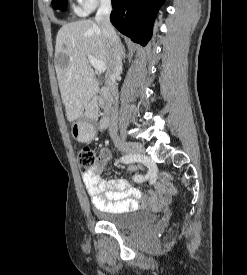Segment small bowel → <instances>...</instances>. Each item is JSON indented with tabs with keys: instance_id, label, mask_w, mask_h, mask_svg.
Masks as SVG:
<instances>
[{
	"instance_id": "obj_1",
	"label": "small bowel",
	"mask_w": 247,
	"mask_h": 275,
	"mask_svg": "<svg viewBox=\"0 0 247 275\" xmlns=\"http://www.w3.org/2000/svg\"><path fill=\"white\" fill-rule=\"evenodd\" d=\"M110 158V151L101 149L97 163L82 174L85 189L95 208L107 212H126L146 205L161 208L170 202L172 193L160 180L150 181L154 189L145 195L125 178L107 179L105 173Z\"/></svg>"
}]
</instances>
